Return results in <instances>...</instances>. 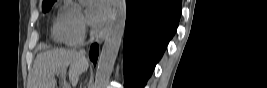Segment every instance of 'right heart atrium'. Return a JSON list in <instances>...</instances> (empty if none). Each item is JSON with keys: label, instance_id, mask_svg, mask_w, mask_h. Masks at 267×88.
I'll return each instance as SVG.
<instances>
[{"label": "right heart atrium", "instance_id": "1", "mask_svg": "<svg viewBox=\"0 0 267 88\" xmlns=\"http://www.w3.org/2000/svg\"><path fill=\"white\" fill-rule=\"evenodd\" d=\"M87 35V24L81 8L70 4L62 8L54 25V36L61 42L76 45L84 41Z\"/></svg>", "mask_w": 267, "mask_h": 88}]
</instances>
